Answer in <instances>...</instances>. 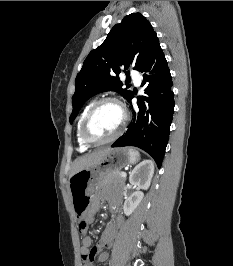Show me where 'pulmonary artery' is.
Returning a JSON list of instances; mask_svg holds the SVG:
<instances>
[{"label": "pulmonary artery", "instance_id": "e3ab8cb5", "mask_svg": "<svg viewBox=\"0 0 233 266\" xmlns=\"http://www.w3.org/2000/svg\"><path fill=\"white\" fill-rule=\"evenodd\" d=\"M131 77L137 85L140 84L141 76L138 72H136V71L131 72Z\"/></svg>", "mask_w": 233, "mask_h": 266}]
</instances>
